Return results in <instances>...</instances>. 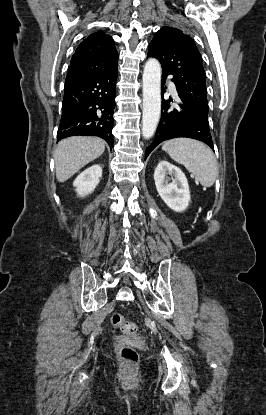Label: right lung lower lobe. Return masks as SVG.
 <instances>
[{
	"label": "right lung lower lobe",
	"mask_w": 266,
	"mask_h": 415,
	"mask_svg": "<svg viewBox=\"0 0 266 415\" xmlns=\"http://www.w3.org/2000/svg\"><path fill=\"white\" fill-rule=\"evenodd\" d=\"M117 66L93 77L65 83L57 141L75 135L98 136L113 147Z\"/></svg>",
	"instance_id": "obj_1"
}]
</instances>
